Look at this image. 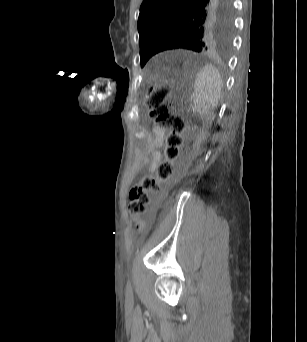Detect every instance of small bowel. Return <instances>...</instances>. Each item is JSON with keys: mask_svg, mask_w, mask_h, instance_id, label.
<instances>
[{"mask_svg": "<svg viewBox=\"0 0 307 342\" xmlns=\"http://www.w3.org/2000/svg\"><path fill=\"white\" fill-rule=\"evenodd\" d=\"M154 140H153V150L151 152V161L149 164L148 171L152 173L155 170L156 164L162 159L161 153L157 150V148L162 144L164 140V130L154 127Z\"/></svg>", "mask_w": 307, "mask_h": 342, "instance_id": "obj_1", "label": "small bowel"}]
</instances>
